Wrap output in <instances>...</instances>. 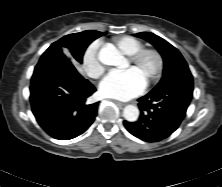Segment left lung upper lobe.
I'll list each match as a JSON object with an SVG mask.
<instances>
[{"instance_id":"obj_1","label":"left lung upper lobe","mask_w":222,"mask_h":187,"mask_svg":"<svg viewBox=\"0 0 222 187\" xmlns=\"http://www.w3.org/2000/svg\"><path fill=\"white\" fill-rule=\"evenodd\" d=\"M151 44L159 51L164 61L163 75L158 85L151 91L152 93L163 92V96H174L182 89L184 79H192L191 72L181 53L170 43L161 37L150 33L141 32L135 34Z\"/></svg>"}]
</instances>
